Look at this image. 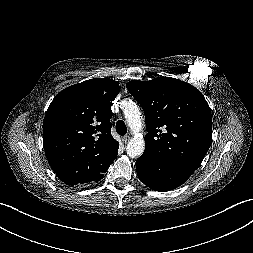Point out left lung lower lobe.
Segmentation results:
<instances>
[{
	"instance_id": "left-lung-lower-lobe-1",
	"label": "left lung lower lobe",
	"mask_w": 253,
	"mask_h": 253,
	"mask_svg": "<svg viewBox=\"0 0 253 253\" xmlns=\"http://www.w3.org/2000/svg\"><path fill=\"white\" fill-rule=\"evenodd\" d=\"M195 170L193 166H164L146 153H143L136 161L139 179L149 188L160 192L179 187Z\"/></svg>"
}]
</instances>
